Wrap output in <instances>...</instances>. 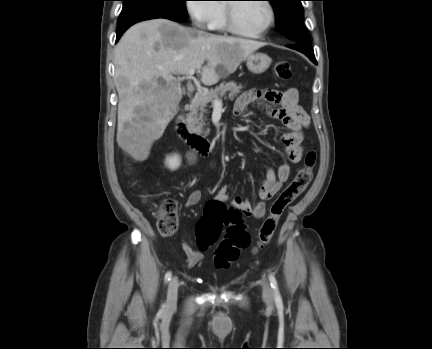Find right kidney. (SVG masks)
Segmentation results:
<instances>
[{"label":"right kidney","instance_id":"ca27d5eb","mask_svg":"<svg viewBox=\"0 0 432 349\" xmlns=\"http://www.w3.org/2000/svg\"><path fill=\"white\" fill-rule=\"evenodd\" d=\"M165 164L169 169L176 170L179 168V166L181 164V159H180L179 155L173 154V155L167 156Z\"/></svg>","mask_w":432,"mask_h":349}]
</instances>
